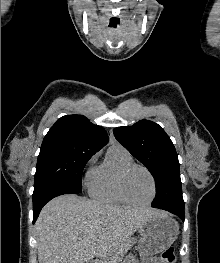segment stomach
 <instances>
[{"instance_id": "0dacf381", "label": "stomach", "mask_w": 220, "mask_h": 263, "mask_svg": "<svg viewBox=\"0 0 220 263\" xmlns=\"http://www.w3.org/2000/svg\"><path fill=\"white\" fill-rule=\"evenodd\" d=\"M140 239L137 248L144 260L146 257L162 252L177 239L179 234V225L176 220L167 213L159 214L148 219L139 229ZM136 257L129 255L123 263H139Z\"/></svg>"}]
</instances>
